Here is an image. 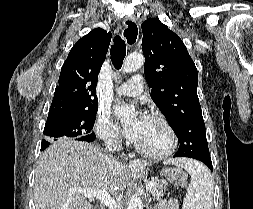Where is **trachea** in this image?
Listing matches in <instances>:
<instances>
[{"label": "trachea", "mask_w": 253, "mask_h": 209, "mask_svg": "<svg viewBox=\"0 0 253 209\" xmlns=\"http://www.w3.org/2000/svg\"><path fill=\"white\" fill-rule=\"evenodd\" d=\"M110 55L114 67L117 70L121 69L123 60L126 56V45L125 41L120 36L114 38V44L110 49Z\"/></svg>", "instance_id": "3493384b"}]
</instances>
